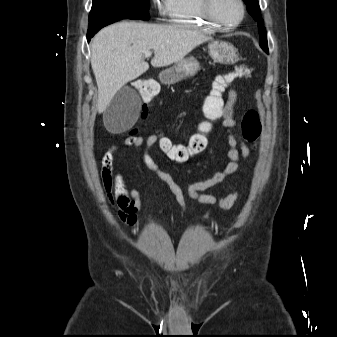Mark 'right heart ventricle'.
I'll return each mask as SVG.
<instances>
[{"label": "right heart ventricle", "instance_id": "right-heart-ventricle-1", "mask_svg": "<svg viewBox=\"0 0 337 337\" xmlns=\"http://www.w3.org/2000/svg\"><path fill=\"white\" fill-rule=\"evenodd\" d=\"M165 12L169 21L178 26L210 33L216 30L203 17L200 0H166Z\"/></svg>", "mask_w": 337, "mask_h": 337}]
</instances>
